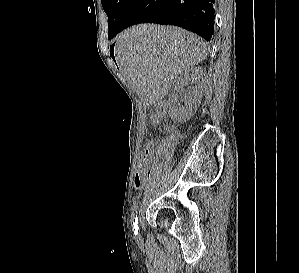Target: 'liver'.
Instances as JSON below:
<instances>
[{
	"label": "liver",
	"instance_id": "liver-1",
	"mask_svg": "<svg viewBox=\"0 0 299 273\" xmlns=\"http://www.w3.org/2000/svg\"><path fill=\"white\" fill-rule=\"evenodd\" d=\"M208 44L178 27L140 24L123 31L115 44L122 73L148 104L163 99L174 79L208 55Z\"/></svg>",
	"mask_w": 299,
	"mask_h": 273
}]
</instances>
